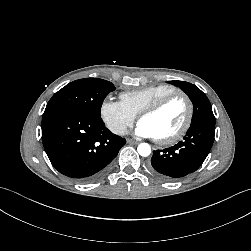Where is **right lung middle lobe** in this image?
Here are the masks:
<instances>
[{"label":"right lung middle lobe","mask_w":251,"mask_h":251,"mask_svg":"<svg viewBox=\"0 0 251 251\" xmlns=\"http://www.w3.org/2000/svg\"><path fill=\"white\" fill-rule=\"evenodd\" d=\"M114 90V85L103 79L85 78L73 81L53 95L44 114L66 111L100 117L103 100Z\"/></svg>","instance_id":"obj_1"}]
</instances>
